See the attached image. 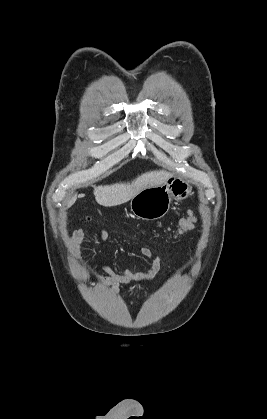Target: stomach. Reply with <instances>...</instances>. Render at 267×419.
I'll return each mask as SVG.
<instances>
[{
  "label": "stomach",
  "mask_w": 267,
  "mask_h": 419,
  "mask_svg": "<svg viewBox=\"0 0 267 419\" xmlns=\"http://www.w3.org/2000/svg\"><path fill=\"white\" fill-rule=\"evenodd\" d=\"M192 194L191 184L176 175L154 187L143 189L136 194L130 203L132 213L140 219L156 220L165 216L172 199L184 200Z\"/></svg>",
  "instance_id": "obj_1"
}]
</instances>
